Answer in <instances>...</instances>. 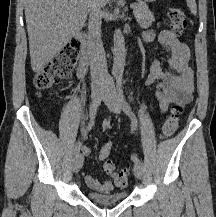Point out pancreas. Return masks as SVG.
<instances>
[{"instance_id":"1","label":"pancreas","mask_w":216,"mask_h":217,"mask_svg":"<svg viewBox=\"0 0 216 217\" xmlns=\"http://www.w3.org/2000/svg\"><path fill=\"white\" fill-rule=\"evenodd\" d=\"M134 15L138 24L142 28L150 27L154 21L153 14L149 10L148 6L143 2H139L135 5Z\"/></svg>"}]
</instances>
